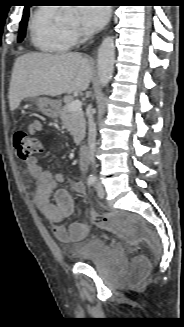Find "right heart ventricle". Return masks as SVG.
<instances>
[{
	"label": "right heart ventricle",
	"instance_id": "1",
	"mask_svg": "<svg viewBox=\"0 0 184 327\" xmlns=\"http://www.w3.org/2000/svg\"><path fill=\"white\" fill-rule=\"evenodd\" d=\"M55 7H39L29 21L30 40L35 48L43 52H66L74 45L71 31L56 21Z\"/></svg>",
	"mask_w": 184,
	"mask_h": 327
}]
</instances>
